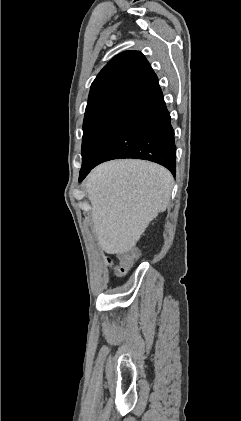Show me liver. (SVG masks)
<instances>
[{"label":"liver","mask_w":241,"mask_h":421,"mask_svg":"<svg viewBox=\"0 0 241 421\" xmlns=\"http://www.w3.org/2000/svg\"><path fill=\"white\" fill-rule=\"evenodd\" d=\"M173 183L166 168L143 160H113L94 168L85 188L100 248L109 254L131 250L166 210Z\"/></svg>","instance_id":"6515ba94"}]
</instances>
